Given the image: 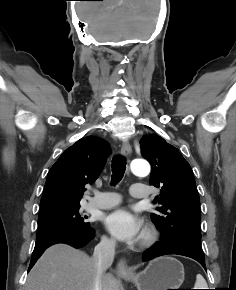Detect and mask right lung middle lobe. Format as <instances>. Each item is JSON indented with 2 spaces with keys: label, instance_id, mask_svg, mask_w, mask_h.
I'll use <instances>...</instances> for the list:
<instances>
[{
  "label": "right lung middle lobe",
  "instance_id": "right-lung-middle-lobe-1",
  "mask_svg": "<svg viewBox=\"0 0 236 290\" xmlns=\"http://www.w3.org/2000/svg\"><path fill=\"white\" fill-rule=\"evenodd\" d=\"M79 209L80 204L40 210L36 237L58 231H71L89 227L90 223L85 221V217L80 216Z\"/></svg>",
  "mask_w": 236,
  "mask_h": 290
}]
</instances>
